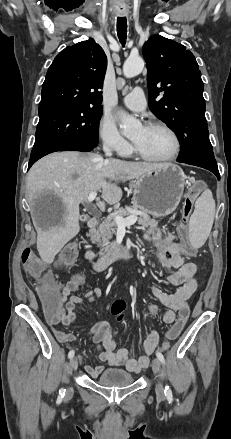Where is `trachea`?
<instances>
[{"instance_id": "3493384b", "label": "trachea", "mask_w": 231, "mask_h": 439, "mask_svg": "<svg viewBox=\"0 0 231 439\" xmlns=\"http://www.w3.org/2000/svg\"><path fill=\"white\" fill-rule=\"evenodd\" d=\"M117 34L122 46H125L127 38V19L126 17L117 18Z\"/></svg>"}]
</instances>
